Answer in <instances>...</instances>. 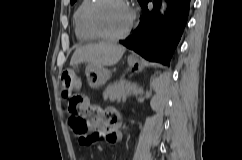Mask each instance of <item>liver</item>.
Segmentation results:
<instances>
[{
    "label": "liver",
    "instance_id": "6515ba94",
    "mask_svg": "<svg viewBox=\"0 0 242 160\" xmlns=\"http://www.w3.org/2000/svg\"><path fill=\"white\" fill-rule=\"evenodd\" d=\"M125 47L114 43L89 44L75 50L70 65L88 63L92 66H113L119 62Z\"/></svg>",
    "mask_w": 242,
    "mask_h": 160
}]
</instances>
